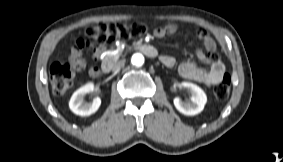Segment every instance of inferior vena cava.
<instances>
[{
    "label": "inferior vena cava",
    "instance_id": "602c4592",
    "mask_svg": "<svg viewBox=\"0 0 283 162\" xmlns=\"http://www.w3.org/2000/svg\"><path fill=\"white\" fill-rule=\"evenodd\" d=\"M123 66H124V62L123 61H119L116 64H114V66L112 67V70L113 71H118Z\"/></svg>",
    "mask_w": 283,
    "mask_h": 162
}]
</instances>
